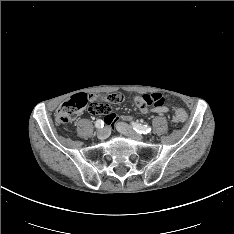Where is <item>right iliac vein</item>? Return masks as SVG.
<instances>
[{
  "mask_svg": "<svg viewBox=\"0 0 234 234\" xmlns=\"http://www.w3.org/2000/svg\"><path fill=\"white\" fill-rule=\"evenodd\" d=\"M109 135V128L108 127H104L100 130H98L97 132V137L100 139V140H104L108 137Z\"/></svg>",
  "mask_w": 234,
  "mask_h": 234,
  "instance_id": "63e3f726",
  "label": "right iliac vein"
}]
</instances>
